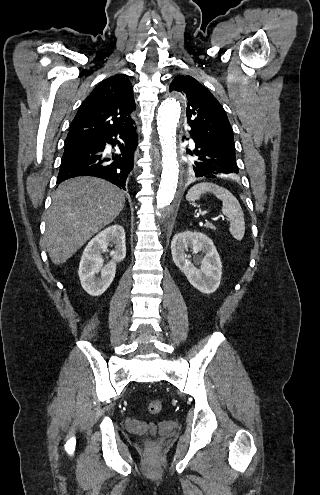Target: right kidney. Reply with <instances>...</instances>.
<instances>
[{"label":"right kidney","instance_id":"ca27d5eb","mask_svg":"<svg viewBox=\"0 0 320 495\" xmlns=\"http://www.w3.org/2000/svg\"><path fill=\"white\" fill-rule=\"evenodd\" d=\"M115 249L110 252L112 260L103 266L101 254L109 245ZM126 256L125 231L120 225H112L97 234L86 246L79 264V278L82 288L91 296L102 295L112 283L116 264ZM101 277H97L98 273Z\"/></svg>","mask_w":320,"mask_h":495}]
</instances>
